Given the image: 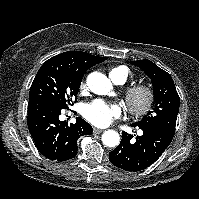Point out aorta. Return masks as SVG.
Here are the masks:
<instances>
[{"mask_svg":"<svg viewBox=\"0 0 199 199\" xmlns=\"http://www.w3.org/2000/svg\"><path fill=\"white\" fill-rule=\"evenodd\" d=\"M89 89L98 95H106L112 89L111 81L100 72H92L87 77ZM102 142L105 146L116 147L120 143V136L114 130H107L102 134Z\"/></svg>","mask_w":199,"mask_h":199,"instance_id":"762f6f07","label":"aorta"}]
</instances>
